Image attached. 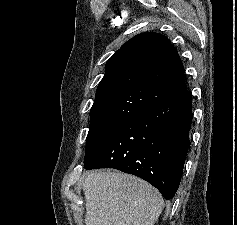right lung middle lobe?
I'll list each match as a JSON object with an SVG mask.
<instances>
[{"label": "right lung middle lobe", "mask_w": 237, "mask_h": 225, "mask_svg": "<svg viewBox=\"0 0 237 225\" xmlns=\"http://www.w3.org/2000/svg\"><path fill=\"white\" fill-rule=\"evenodd\" d=\"M128 120L122 119H97L90 120L88 139L85 147V157L106 137L125 124Z\"/></svg>", "instance_id": "1"}]
</instances>
